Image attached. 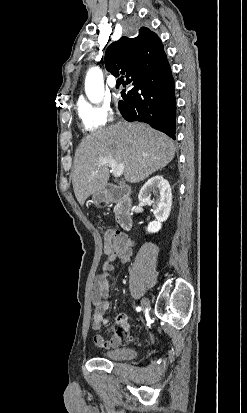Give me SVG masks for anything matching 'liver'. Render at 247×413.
<instances>
[{"mask_svg": "<svg viewBox=\"0 0 247 413\" xmlns=\"http://www.w3.org/2000/svg\"><path fill=\"white\" fill-rule=\"evenodd\" d=\"M174 154L172 138L145 122L119 120L93 130L76 148L72 170L75 196L83 207L90 194L105 188L110 172L108 164L98 166L99 158H114L118 164L123 162L126 180L140 182L166 166Z\"/></svg>", "mask_w": 247, "mask_h": 413, "instance_id": "obj_1", "label": "liver"}]
</instances>
